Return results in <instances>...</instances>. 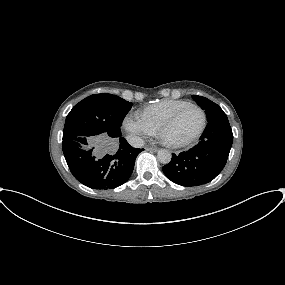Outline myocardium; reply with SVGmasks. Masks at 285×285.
<instances>
[{
	"instance_id": "1",
	"label": "myocardium",
	"mask_w": 285,
	"mask_h": 285,
	"mask_svg": "<svg viewBox=\"0 0 285 285\" xmlns=\"http://www.w3.org/2000/svg\"><path fill=\"white\" fill-rule=\"evenodd\" d=\"M188 108H196L197 110L200 111L201 115H202V124L200 126V128L198 129V131L193 134L192 136H190L187 139L181 140V141H172L170 139H168L166 137V133L167 131L177 122V120L179 119V117L181 116V114ZM206 124H207V117H206V113L205 111L198 105L196 104H192L189 103L185 106H183L182 108H180L179 110H177L167 121H165L158 129V133L160 135V137L162 138L163 142L171 147V148H181L184 146H187L189 144H191L192 142H194L195 140H197L202 133L204 132L205 128H206Z\"/></svg>"
}]
</instances>
